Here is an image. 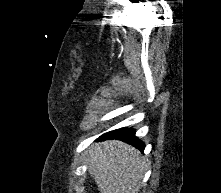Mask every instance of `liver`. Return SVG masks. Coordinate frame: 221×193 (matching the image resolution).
<instances>
[{"label":"liver","mask_w":221,"mask_h":193,"mask_svg":"<svg viewBox=\"0 0 221 193\" xmlns=\"http://www.w3.org/2000/svg\"><path fill=\"white\" fill-rule=\"evenodd\" d=\"M87 163L100 193H139L146 171L139 150L122 141L106 140L89 147Z\"/></svg>","instance_id":"6515ba94"}]
</instances>
